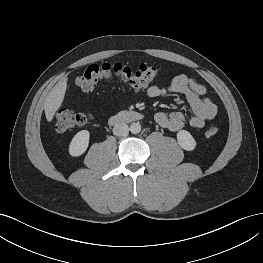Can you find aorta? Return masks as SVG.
Instances as JSON below:
<instances>
[{
    "mask_svg": "<svg viewBox=\"0 0 263 263\" xmlns=\"http://www.w3.org/2000/svg\"><path fill=\"white\" fill-rule=\"evenodd\" d=\"M130 131L133 134H138L141 131V125L139 124V122H134L130 125Z\"/></svg>",
    "mask_w": 263,
    "mask_h": 263,
    "instance_id": "obj_1",
    "label": "aorta"
}]
</instances>
